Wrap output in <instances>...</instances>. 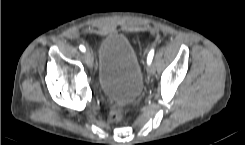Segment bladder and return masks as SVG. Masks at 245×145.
I'll return each mask as SVG.
<instances>
[{
    "instance_id": "obj_1",
    "label": "bladder",
    "mask_w": 245,
    "mask_h": 145,
    "mask_svg": "<svg viewBox=\"0 0 245 145\" xmlns=\"http://www.w3.org/2000/svg\"><path fill=\"white\" fill-rule=\"evenodd\" d=\"M97 74L101 90L113 100H133L142 90L139 61L123 34L108 35L100 46Z\"/></svg>"
}]
</instances>
